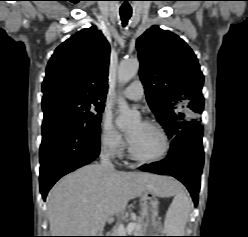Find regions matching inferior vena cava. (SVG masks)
Returning <instances> with one entry per match:
<instances>
[{
  "instance_id": "1",
  "label": "inferior vena cava",
  "mask_w": 248,
  "mask_h": 237,
  "mask_svg": "<svg viewBox=\"0 0 248 237\" xmlns=\"http://www.w3.org/2000/svg\"><path fill=\"white\" fill-rule=\"evenodd\" d=\"M112 148L108 146L107 144H104L101 149V155H100V163L104 168L115 170L114 165L112 164L110 160V154H111Z\"/></svg>"
}]
</instances>
